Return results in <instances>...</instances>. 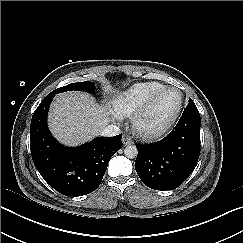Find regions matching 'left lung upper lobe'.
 Instances as JSON below:
<instances>
[{"instance_id": "obj_1", "label": "left lung upper lobe", "mask_w": 243, "mask_h": 243, "mask_svg": "<svg viewBox=\"0 0 243 243\" xmlns=\"http://www.w3.org/2000/svg\"><path fill=\"white\" fill-rule=\"evenodd\" d=\"M187 107H196V105L194 104L192 99L189 100V103H188Z\"/></svg>"}]
</instances>
